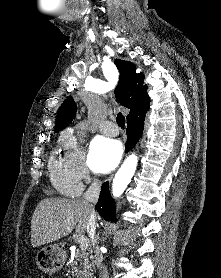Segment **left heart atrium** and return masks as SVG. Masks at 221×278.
<instances>
[{"mask_svg":"<svg viewBox=\"0 0 221 278\" xmlns=\"http://www.w3.org/2000/svg\"><path fill=\"white\" fill-rule=\"evenodd\" d=\"M122 151L120 141L96 137L90 145V164L96 172L108 173L118 165Z\"/></svg>","mask_w":221,"mask_h":278,"instance_id":"obj_1","label":"left heart atrium"}]
</instances>
